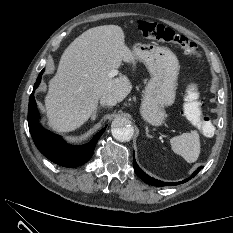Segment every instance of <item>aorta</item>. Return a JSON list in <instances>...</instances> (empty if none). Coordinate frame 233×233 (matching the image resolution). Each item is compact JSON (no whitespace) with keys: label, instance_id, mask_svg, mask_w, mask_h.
Here are the masks:
<instances>
[{"label":"aorta","instance_id":"762f6f07","mask_svg":"<svg viewBox=\"0 0 233 233\" xmlns=\"http://www.w3.org/2000/svg\"><path fill=\"white\" fill-rule=\"evenodd\" d=\"M112 135L115 139L121 142L130 141L133 134L134 129L130 125V121L125 117H117L112 122Z\"/></svg>","mask_w":233,"mask_h":233}]
</instances>
